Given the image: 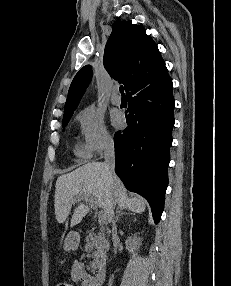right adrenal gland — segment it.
Masks as SVG:
<instances>
[{"label":"right adrenal gland","instance_id":"1","mask_svg":"<svg viewBox=\"0 0 231 286\" xmlns=\"http://www.w3.org/2000/svg\"><path fill=\"white\" fill-rule=\"evenodd\" d=\"M116 217H115V221L117 222L119 217L122 216V215H130L132 214V212L130 210H127V209H124V208H121V207H118L117 208V211H116Z\"/></svg>","mask_w":231,"mask_h":286}]
</instances>
